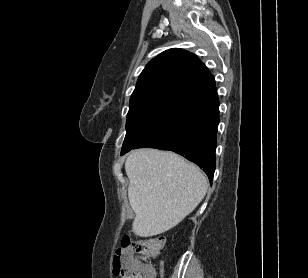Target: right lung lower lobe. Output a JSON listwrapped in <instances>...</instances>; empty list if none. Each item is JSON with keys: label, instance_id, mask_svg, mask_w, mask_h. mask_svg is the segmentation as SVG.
I'll list each match as a JSON object with an SVG mask.
<instances>
[{"label": "right lung lower lobe", "instance_id": "obj_1", "mask_svg": "<svg viewBox=\"0 0 308 278\" xmlns=\"http://www.w3.org/2000/svg\"><path fill=\"white\" fill-rule=\"evenodd\" d=\"M219 123L217 91L176 114L162 129L134 147L170 150L203 167L212 182Z\"/></svg>", "mask_w": 308, "mask_h": 278}]
</instances>
